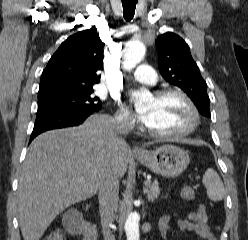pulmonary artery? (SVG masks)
Here are the masks:
<instances>
[{
  "instance_id": "1",
  "label": "pulmonary artery",
  "mask_w": 248,
  "mask_h": 240,
  "mask_svg": "<svg viewBox=\"0 0 248 240\" xmlns=\"http://www.w3.org/2000/svg\"><path fill=\"white\" fill-rule=\"evenodd\" d=\"M132 76L141 83L154 84L156 82V73L150 66L145 64L139 65Z\"/></svg>"
}]
</instances>
